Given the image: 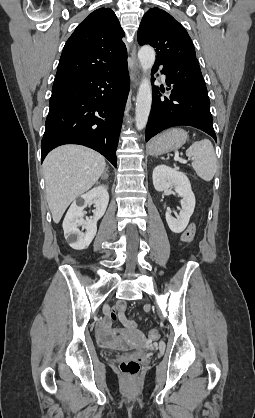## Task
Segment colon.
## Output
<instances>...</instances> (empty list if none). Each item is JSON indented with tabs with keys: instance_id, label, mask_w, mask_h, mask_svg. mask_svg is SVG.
<instances>
[{
	"instance_id": "colon-1",
	"label": "colon",
	"mask_w": 255,
	"mask_h": 418,
	"mask_svg": "<svg viewBox=\"0 0 255 418\" xmlns=\"http://www.w3.org/2000/svg\"><path fill=\"white\" fill-rule=\"evenodd\" d=\"M189 228H194L190 226ZM150 339L154 340L159 337L157 330H151L149 332ZM120 370L128 378H135L140 371V362L137 359H124L119 364Z\"/></svg>"
}]
</instances>
